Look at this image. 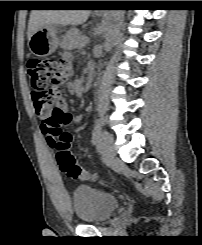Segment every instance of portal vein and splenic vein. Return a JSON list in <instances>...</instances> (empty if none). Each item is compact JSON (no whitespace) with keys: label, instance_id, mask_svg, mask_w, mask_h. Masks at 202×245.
Instances as JSON below:
<instances>
[{"label":"portal vein and splenic vein","instance_id":"18ae733b","mask_svg":"<svg viewBox=\"0 0 202 245\" xmlns=\"http://www.w3.org/2000/svg\"><path fill=\"white\" fill-rule=\"evenodd\" d=\"M88 42H89L88 38H84V39H83V43H84V44H86V43H88Z\"/></svg>","mask_w":202,"mask_h":245}]
</instances>
